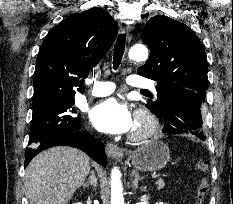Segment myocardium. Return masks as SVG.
Segmentation results:
<instances>
[{"label": "myocardium", "instance_id": "myocardium-1", "mask_svg": "<svg viewBox=\"0 0 233 204\" xmlns=\"http://www.w3.org/2000/svg\"><path fill=\"white\" fill-rule=\"evenodd\" d=\"M135 125L129 138L132 141H140L150 137L156 131L157 120L149 110L139 108L135 112Z\"/></svg>", "mask_w": 233, "mask_h": 204}]
</instances>
